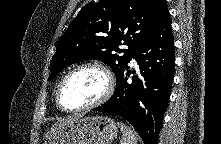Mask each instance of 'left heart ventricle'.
<instances>
[{
	"mask_svg": "<svg viewBox=\"0 0 221 144\" xmlns=\"http://www.w3.org/2000/svg\"><path fill=\"white\" fill-rule=\"evenodd\" d=\"M106 84L101 71L94 68L79 70L68 79L63 88V103L69 108L91 104L103 95Z\"/></svg>",
	"mask_w": 221,
	"mask_h": 144,
	"instance_id": "left-heart-ventricle-1",
	"label": "left heart ventricle"
}]
</instances>
